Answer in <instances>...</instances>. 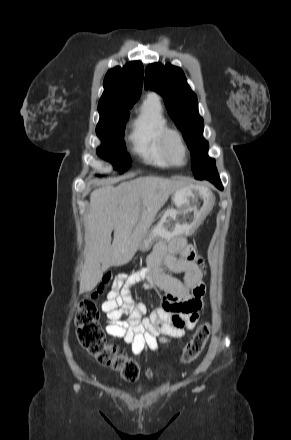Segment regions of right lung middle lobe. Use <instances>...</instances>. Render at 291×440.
<instances>
[{"label":"right lung middle lobe","instance_id":"1","mask_svg":"<svg viewBox=\"0 0 291 440\" xmlns=\"http://www.w3.org/2000/svg\"><path fill=\"white\" fill-rule=\"evenodd\" d=\"M130 108H98L100 120L96 127V134L102 144L97 148V154L110 161L114 169H118L120 172H124L130 167V156L126 152L123 141L125 123L128 120Z\"/></svg>","mask_w":291,"mask_h":440}]
</instances>
